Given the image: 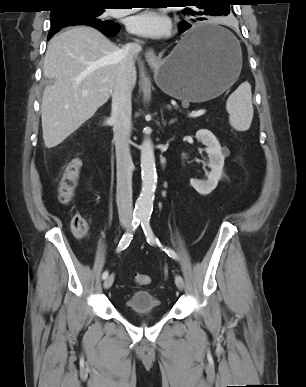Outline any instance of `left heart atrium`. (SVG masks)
Masks as SVG:
<instances>
[{
	"instance_id": "obj_1",
	"label": "left heart atrium",
	"mask_w": 306,
	"mask_h": 387,
	"mask_svg": "<svg viewBox=\"0 0 306 387\" xmlns=\"http://www.w3.org/2000/svg\"><path fill=\"white\" fill-rule=\"evenodd\" d=\"M127 27L131 33L144 37L160 38L169 33L171 22L167 16L154 10H147L132 16Z\"/></svg>"
}]
</instances>
